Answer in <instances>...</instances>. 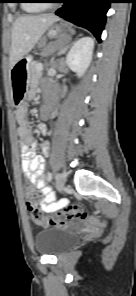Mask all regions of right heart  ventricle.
<instances>
[{
  "label": "right heart ventricle",
  "mask_w": 136,
  "mask_h": 296,
  "mask_svg": "<svg viewBox=\"0 0 136 296\" xmlns=\"http://www.w3.org/2000/svg\"><path fill=\"white\" fill-rule=\"evenodd\" d=\"M36 2H40V0H25V3H23L22 7L26 12L41 11L44 8V5L42 3Z\"/></svg>",
  "instance_id": "right-heart-ventricle-1"
}]
</instances>
